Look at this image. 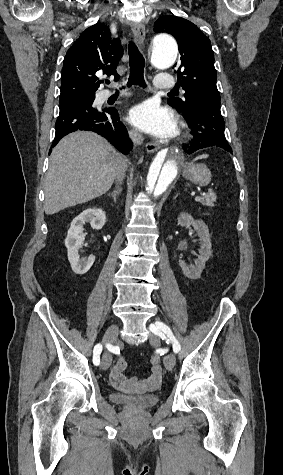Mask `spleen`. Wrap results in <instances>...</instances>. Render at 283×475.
Wrapping results in <instances>:
<instances>
[{
  "mask_svg": "<svg viewBox=\"0 0 283 475\" xmlns=\"http://www.w3.org/2000/svg\"><path fill=\"white\" fill-rule=\"evenodd\" d=\"M202 158H208L207 154H203V156H198V158H195V160H202ZM195 160H193V162H195Z\"/></svg>",
  "mask_w": 283,
  "mask_h": 475,
  "instance_id": "1",
  "label": "spleen"
}]
</instances>
